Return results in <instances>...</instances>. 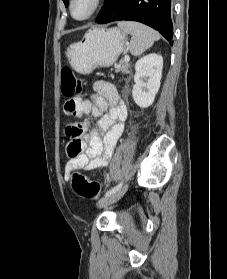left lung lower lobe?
Returning <instances> with one entry per match:
<instances>
[{
  "instance_id": "obj_1",
  "label": "left lung lower lobe",
  "mask_w": 227,
  "mask_h": 279,
  "mask_svg": "<svg viewBox=\"0 0 227 279\" xmlns=\"http://www.w3.org/2000/svg\"><path fill=\"white\" fill-rule=\"evenodd\" d=\"M118 20L144 23L173 44L171 0H105L95 22L105 24Z\"/></svg>"
}]
</instances>
